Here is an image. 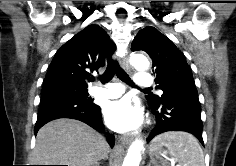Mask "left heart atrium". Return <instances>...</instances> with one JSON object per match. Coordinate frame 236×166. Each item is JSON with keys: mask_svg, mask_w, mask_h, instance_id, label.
<instances>
[{"mask_svg": "<svg viewBox=\"0 0 236 166\" xmlns=\"http://www.w3.org/2000/svg\"><path fill=\"white\" fill-rule=\"evenodd\" d=\"M106 124L117 132L137 129L143 122L142 109L129 98L108 102L103 109Z\"/></svg>", "mask_w": 236, "mask_h": 166, "instance_id": "obj_1", "label": "left heart atrium"}]
</instances>
